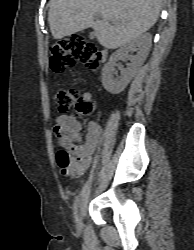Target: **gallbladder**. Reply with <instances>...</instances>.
Instances as JSON below:
<instances>
[{
	"label": "gallbladder",
	"mask_w": 194,
	"mask_h": 250,
	"mask_svg": "<svg viewBox=\"0 0 194 250\" xmlns=\"http://www.w3.org/2000/svg\"><path fill=\"white\" fill-rule=\"evenodd\" d=\"M90 37H93V34H90Z\"/></svg>",
	"instance_id": "gallbladder-1"
}]
</instances>
